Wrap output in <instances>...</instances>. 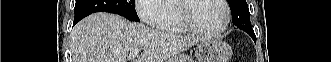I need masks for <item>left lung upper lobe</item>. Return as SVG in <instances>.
Masks as SVG:
<instances>
[{
    "label": "left lung upper lobe",
    "mask_w": 331,
    "mask_h": 62,
    "mask_svg": "<svg viewBox=\"0 0 331 62\" xmlns=\"http://www.w3.org/2000/svg\"><path fill=\"white\" fill-rule=\"evenodd\" d=\"M227 1L231 9L233 24L239 27L240 29H243L248 34L253 35L254 31L250 23V13L246 0H227Z\"/></svg>",
    "instance_id": "1"
}]
</instances>
